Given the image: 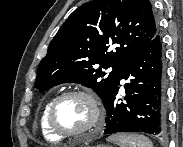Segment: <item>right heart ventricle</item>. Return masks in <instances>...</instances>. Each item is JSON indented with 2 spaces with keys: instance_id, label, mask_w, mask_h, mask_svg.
Instances as JSON below:
<instances>
[{
  "instance_id": "e07e8e85",
  "label": "right heart ventricle",
  "mask_w": 183,
  "mask_h": 147,
  "mask_svg": "<svg viewBox=\"0 0 183 147\" xmlns=\"http://www.w3.org/2000/svg\"><path fill=\"white\" fill-rule=\"evenodd\" d=\"M55 99V96H52L51 98H49L43 108H42V111H41V115H40V128H41V131H42V134L43 136L50 140V141H60L62 140V137L61 136H58L56 135L51 129L50 127L48 126V123H47V113H48V109L52 103V101Z\"/></svg>"
}]
</instances>
